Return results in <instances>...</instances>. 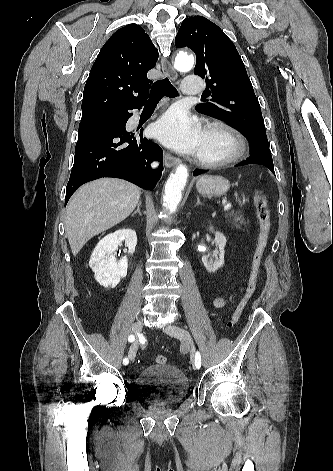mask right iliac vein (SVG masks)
Instances as JSON below:
<instances>
[{"instance_id": "63e3f726", "label": "right iliac vein", "mask_w": 333, "mask_h": 471, "mask_svg": "<svg viewBox=\"0 0 333 471\" xmlns=\"http://www.w3.org/2000/svg\"><path fill=\"white\" fill-rule=\"evenodd\" d=\"M142 328H143V323L142 321H137L133 324V327H132V331L136 334V335H139L141 332H142ZM137 350H138V341H135L131 347H130V350H129V358L130 360H134L135 357H136V354H137Z\"/></svg>"}]
</instances>
